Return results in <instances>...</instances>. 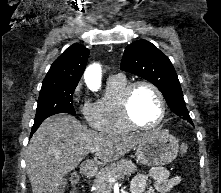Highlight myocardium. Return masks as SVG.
<instances>
[{
	"instance_id": "obj_1",
	"label": "myocardium",
	"mask_w": 221,
	"mask_h": 193,
	"mask_svg": "<svg viewBox=\"0 0 221 193\" xmlns=\"http://www.w3.org/2000/svg\"><path fill=\"white\" fill-rule=\"evenodd\" d=\"M140 86H147V87L151 88L155 92V94L157 95L159 103H160L159 117L151 125L139 124L138 122L135 121V119L133 118L132 112H131L132 96H133L136 88L140 87ZM121 110H122V114H123L125 121L132 128L139 129V130H154V129H157L163 123V121L165 119L166 101H165L162 91L159 89L158 86H156L154 83H152L148 80H138V81L128 84V86L124 90L123 95L121 97Z\"/></svg>"
}]
</instances>
